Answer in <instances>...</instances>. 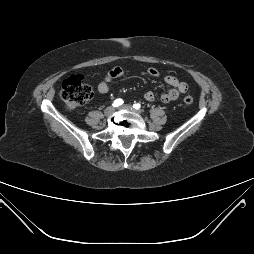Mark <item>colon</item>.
<instances>
[{"label": "colon", "instance_id": "obj_1", "mask_svg": "<svg viewBox=\"0 0 254 254\" xmlns=\"http://www.w3.org/2000/svg\"><path fill=\"white\" fill-rule=\"evenodd\" d=\"M60 96L69 110H76L92 98L93 90L83 76L74 75L64 80ZM193 101L194 99L190 95L183 98V102L187 105L192 104Z\"/></svg>", "mask_w": 254, "mask_h": 254}]
</instances>
